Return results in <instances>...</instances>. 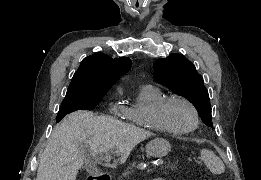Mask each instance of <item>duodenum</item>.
<instances>
[{
    "mask_svg": "<svg viewBox=\"0 0 261 180\" xmlns=\"http://www.w3.org/2000/svg\"><path fill=\"white\" fill-rule=\"evenodd\" d=\"M86 180H110L108 173H91V177H87Z\"/></svg>",
    "mask_w": 261,
    "mask_h": 180,
    "instance_id": "obj_1",
    "label": "duodenum"
}]
</instances>
